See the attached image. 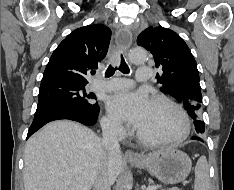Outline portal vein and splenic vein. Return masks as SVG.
<instances>
[{"mask_svg": "<svg viewBox=\"0 0 234 190\" xmlns=\"http://www.w3.org/2000/svg\"><path fill=\"white\" fill-rule=\"evenodd\" d=\"M79 178V177H77ZM146 190H157V186H149L146 188Z\"/></svg>", "mask_w": 234, "mask_h": 190, "instance_id": "18ae733b", "label": "portal vein and splenic vein"}]
</instances>
